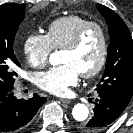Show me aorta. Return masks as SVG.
<instances>
[{
	"label": "aorta",
	"mask_w": 133,
	"mask_h": 133,
	"mask_svg": "<svg viewBox=\"0 0 133 133\" xmlns=\"http://www.w3.org/2000/svg\"><path fill=\"white\" fill-rule=\"evenodd\" d=\"M49 61L52 65H58L60 62L59 56L56 53L50 55ZM89 115V109L85 104L79 103L72 109V116L78 122H84Z\"/></svg>",
	"instance_id": "aorta-1"
}]
</instances>
